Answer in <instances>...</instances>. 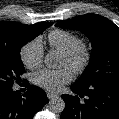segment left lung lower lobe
<instances>
[{
    "label": "left lung lower lobe",
    "mask_w": 119,
    "mask_h": 119,
    "mask_svg": "<svg viewBox=\"0 0 119 119\" xmlns=\"http://www.w3.org/2000/svg\"><path fill=\"white\" fill-rule=\"evenodd\" d=\"M71 90L85 97L84 102L78 96L62 95L65 109L60 119H119V85L79 87L73 84Z\"/></svg>",
    "instance_id": "1"
}]
</instances>
